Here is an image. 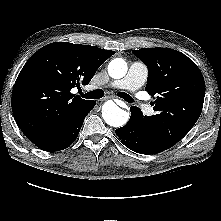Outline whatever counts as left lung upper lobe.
<instances>
[{
	"instance_id": "left-lung-upper-lobe-1",
	"label": "left lung upper lobe",
	"mask_w": 221,
	"mask_h": 221,
	"mask_svg": "<svg viewBox=\"0 0 221 221\" xmlns=\"http://www.w3.org/2000/svg\"><path fill=\"white\" fill-rule=\"evenodd\" d=\"M132 53L148 67L145 90L152 96L156 115L146 117L168 147L179 142L194 126L203 107L205 82L197 65L169 48H142Z\"/></svg>"
}]
</instances>
